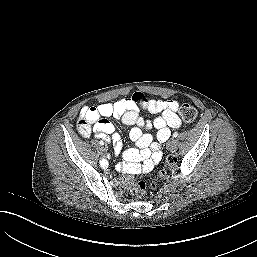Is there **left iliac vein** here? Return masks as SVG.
I'll list each match as a JSON object with an SVG mask.
<instances>
[{
  "instance_id": "left-iliac-vein-1",
  "label": "left iliac vein",
  "mask_w": 257,
  "mask_h": 257,
  "mask_svg": "<svg viewBox=\"0 0 257 257\" xmlns=\"http://www.w3.org/2000/svg\"><path fill=\"white\" fill-rule=\"evenodd\" d=\"M177 143L176 139H172L167 145L169 151L174 152L177 148Z\"/></svg>"
}]
</instances>
